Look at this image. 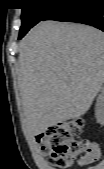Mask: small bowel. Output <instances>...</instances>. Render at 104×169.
<instances>
[{"mask_svg": "<svg viewBox=\"0 0 104 169\" xmlns=\"http://www.w3.org/2000/svg\"><path fill=\"white\" fill-rule=\"evenodd\" d=\"M94 146H95V148L98 150V152L100 154V147H99V145L97 143H94Z\"/></svg>", "mask_w": 104, "mask_h": 169, "instance_id": "obj_1", "label": "small bowel"}]
</instances>
